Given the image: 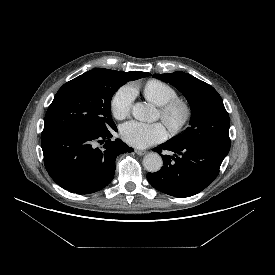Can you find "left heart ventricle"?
<instances>
[{"mask_svg": "<svg viewBox=\"0 0 275 275\" xmlns=\"http://www.w3.org/2000/svg\"><path fill=\"white\" fill-rule=\"evenodd\" d=\"M181 117V113L179 111L175 112L171 117V122L176 123Z\"/></svg>", "mask_w": 275, "mask_h": 275, "instance_id": "b2bd125f", "label": "left heart ventricle"}]
</instances>
